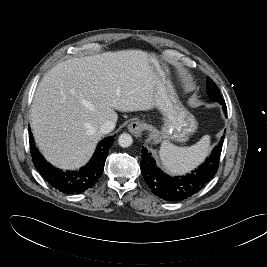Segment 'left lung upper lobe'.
<instances>
[{"label": "left lung upper lobe", "instance_id": "obj_1", "mask_svg": "<svg viewBox=\"0 0 267 267\" xmlns=\"http://www.w3.org/2000/svg\"><path fill=\"white\" fill-rule=\"evenodd\" d=\"M207 94L209 95V97L213 100V101H217L219 103H223L224 100L222 98V96L220 95V91L218 89V87L216 86V84L212 81V79L210 77H207Z\"/></svg>", "mask_w": 267, "mask_h": 267}]
</instances>
